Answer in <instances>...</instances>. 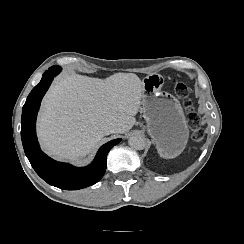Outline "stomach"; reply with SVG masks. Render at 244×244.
I'll use <instances>...</instances> for the list:
<instances>
[{
	"label": "stomach",
	"mask_w": 244,
	"mask_h": 244,
	"mask_svg": "<svg viewBox=\"0 0 244 244\" xmlns=\"http://www.w3.org/2000/svg\"><path fill=\"white\" fill-rule=\"evenodd\" d=\"M163 85L164 77L158 73L142 79V111L158 154L172 159L185 149L189 129L179 100L163 91Z\"/></svg>",
	"instance_id": "0dacf381"
}]
</instances>
